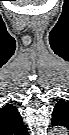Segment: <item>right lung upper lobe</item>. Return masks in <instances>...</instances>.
I'll return each mask as SVG.
<instances>
[{"label":"right lung upper lobe","mask_w":69,"mask_h":135,"mask_svg":"<svg viewBox=\"0 0 69 135\" xmlns=\"http://www.w3.org/2000/svg\"><path fill=\"white\" fill-rule=\"evenodd\" d=\"M1 132L3 135H28L18 110L12 105H6L0 112Z\"/></svg>","instance_id":"1"}]
</instances>
